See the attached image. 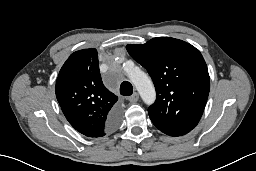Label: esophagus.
<instances>
[{
    "mask_svg": "<svg viewBox=\"0 0 256 171\" xmlns=\"http://www.w3.org/2000/svg\"><path fill=\"white\" fill-rule=\"evenodd\" d=\"M139 99V94L137 92L133 93V95H131L128 100L131 102V103H135L137 102Z\"/></svg>",
    "mask_w": 256,
    "mask_h": 171,
    "instance_id": "esophagus-1",
    "label": "esophagus"
}]
</instances>
